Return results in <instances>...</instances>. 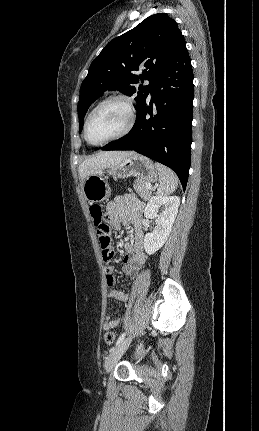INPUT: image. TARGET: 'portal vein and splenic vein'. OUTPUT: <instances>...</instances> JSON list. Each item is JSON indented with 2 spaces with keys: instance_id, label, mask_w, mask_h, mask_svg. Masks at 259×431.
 <instances>
[{
  "instance_id": "1",
  "label": "portal vein and splenic vein",
  "mask_w": 259,
  "mask_h": 431,
  "mask_svg": "<svg viewBox=\"0 0 259 431\" xmlns=\"http://www.w3.org/2000/svg\"><path fill=\"white\" fill-rule=\"evenodd\" d=\"M146 188H148V189H152V186L150 185V184H146Z\"/></svg>"
}]
</instances>
